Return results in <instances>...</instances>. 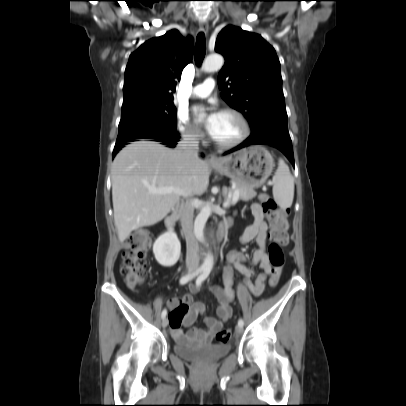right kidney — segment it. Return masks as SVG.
Returning <instances> with one entry per match:
<instances>
[{
  "instance_id": "obj_1",
  "label": "right kidney",
  "mask_w": 406,
  "mask_h": 406,
  "mask_svg": "<svg viewBox=\"0 0 406 406\" xmlns=\"http://www.w3.org/2000/svg\"><path fill=\"white\" fill-rule=\"evenodd\" d=\"M153 253L160 265L173 266L181 253V244L176 233L168 231L160 235L153 245Z\"/></svg>"
}]
</instances>
